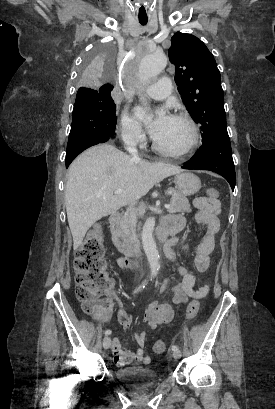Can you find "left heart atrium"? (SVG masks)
I'll return each mask as SVG.
<instances>
[{
    "mask_svg": "<svg viewBox=\"0 0 275 409\" xmlns=\"http://www.w3.org/2000/svg\"><path fill=\"white\" fill-rule=\"evenodd\" d=\"M166 119H167V116H166V115H164L162 112L159 113V115L157 116V118H156L153 122H151V123L149 124V131H150L151 135H153V134L158 130V128L160 127V125H161Z\"/></svg>",
    "mask_w": 275,
    "mask_h": 409,
    "instance_id": "1",
    "label": "left heart atrium"
}]
</instances>
